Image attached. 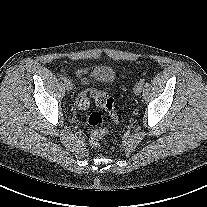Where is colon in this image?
Here are the masks:
<instances>
[{
    "instance_id": "obj_1",
    "label": "colon",
    "mask_w": 207,
    "mask_h": 207,
    "mask_svg": "<svg viewBox=\"0 0 207 207\" xmlns=\"http://www.w3.org/2000/svg\"><path fill=\"white\" fill-rule=\"evenodd\" d=\"M88 95L94 98L97 106L104 109L114 122H119L120 118L115 110L113 98L106 92L98 91L95 88L77 96L76 106L78 109L86 110L89 107ZM102 123L103 117L98 112H92L86 118V124L93 128L89 135V143L93 147H99L101 140L108 135V131L105 128H101Z\"/></svg>"
}]
</instances>
